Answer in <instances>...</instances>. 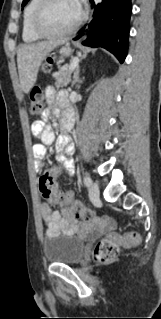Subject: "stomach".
Here are the masks:
<instances>
[{"label": "stomach", "instance_id": "1", "mask_svg": "<svg viewBox=\"0 0 161 319\" xmlns=\"http://www.w3.org/2000/svg\"><path fill=\"white\" fill-rule=\"evenodd\" d=\"M71 48L67 45V46H64L60 49L59 53L62 55V56H69L71 54Z\"/></svg>", "mask_w": 161, "mask_h": 319}]
</instances>
